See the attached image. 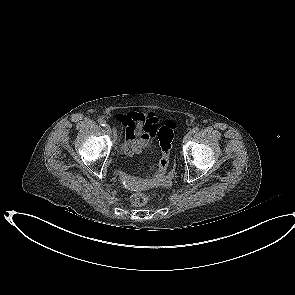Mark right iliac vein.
Returning <instances> with one entry per match:
<instances>
[{"mask_svg":"<svg viewBox=\"0 0 295 295\" xmlns=\"http://www.w3.org/2000/svg\"><path fill=\"white\" fill-rule=\"evenodd\" d=\"M105 128L108 133H112V130L108 124L105 125Z\"/></svg>","mask_w":295,"mask_h":295,"instance_id":"obj_1","label":"right iliac vein"}]
</instances>
